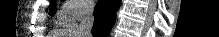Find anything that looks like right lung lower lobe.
<instances>
[{
	"label": "right lung lower lobe",
	"instance_id": "1",
	"mask_svg": "<svg viewBox=\"0 0 219 37\" xmlns=\"http://www.w3.org/2000/svg\"><path fill=\"white\" fill-rule=\"evenodd\" d=\"M121 0H100L95 6L93 37H108L116 19Z\"/></svg>",
	"mask_w": 219,
	"mask_h": 37
}]
</instances>
